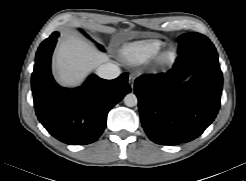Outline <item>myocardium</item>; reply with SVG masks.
<instances>
[{
  "label": "myocardium",
  "instance_id": "obj_1",
  "mask_svg": "<svg viewBox=\"0 0 246 181\" xmlns=\"http://www.w3.org/2000/svg\"><path fill=\"white\" fill-rule=\"evenodd\" d=\"M175 59H176L175 50L167 49L157 55V57L155 58V63L160 67H168L175 62Z\"/></svg>",
  "mask_w": 246,
  "mask_h": 181
}]
</instances>
